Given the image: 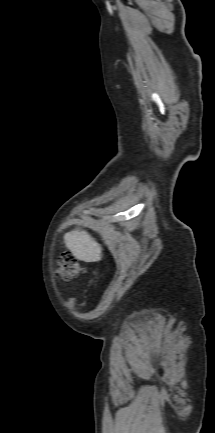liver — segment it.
<instances>
[{
  "label": "liver",
  "instance_id": "obj_1",
  "mask_svg": "<svg viewBox=\"0 0 215 433\" xmlns=\"http://www.w3.org/2000/svg\"><path fill=\"white\" fill-rule=\"evenodd\" d=\"M64 242L74 257L80 261L91 263L102 259L101 245L84 230L66 233Z\"/></svg>",
  "mask_w": 215,
  "mask_h": 433
}]
</instances>
